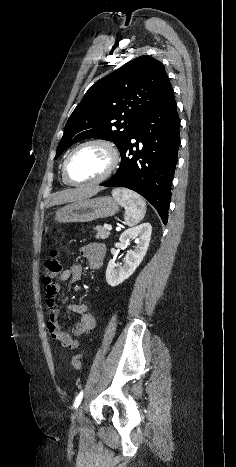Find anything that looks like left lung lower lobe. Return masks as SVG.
I'll use <instances>...</instances> for the list:
<instances>
[{
	"instance_id": "left-lung-lower-lobe-1",
	"label": "left lung lower lobe",
	"mask_w": 236,
	"mask_h": 467,
	"mask_svg": "<svg viewBox=\"0 0 236 467\" xmlns=\"http://www.w3.org/2000/svg\"><path fill=\"white\" fill-rule=\"evenodd\" d=\"M180 119L171 87L131 132L116 174L101 186L125 187L142 195L168 221L171 184L178 160ZM135 139L136 142L132 143ZM139 143H141L139 147ZM136 147V150L133 148Z\"/></svg>"
}]
</instances>
